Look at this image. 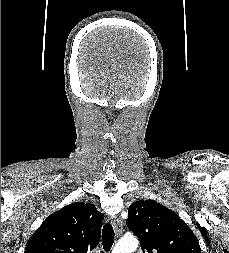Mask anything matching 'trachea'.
I'll list each match as a JSON object with an SVG mask.
<instances>
[{
  "label": "trachea",
  "instance_id": "1",
  "mask_svg": "<svg viewBox=\"0 0 229 253\" xmlns=\"http://www.w3.org/2000/svg\"><path fill=\"white\" fill-rule=\"evenodd\" d=\"M114 229L110 223H105L102 230L103 249L108 252L112 248L114 242Z\"/></svg>",
  "mask_w": 229,
  "mask_h": 253
}]
</instances>
